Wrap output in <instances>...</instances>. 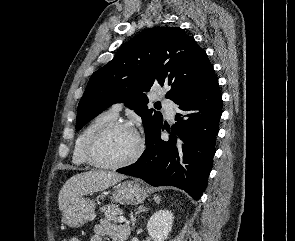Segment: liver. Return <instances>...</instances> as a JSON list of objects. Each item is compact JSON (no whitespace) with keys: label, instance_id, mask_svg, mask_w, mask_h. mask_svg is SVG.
Segmentation results:
<instances>
[{"label":"liver","instance_id":"liver-1","mask_svg":"<svg viewBox=\"0 0 295 241\" xmlns=\"http://www.w3.org/2000/svg\"><path fill=\"white\" fill-rule=\"evenodd\" d=\"M125 178L122 174L95 170L80 173L68 179L58 196L59 209L64 210L69 204L92 192L103 191Z\"/></svg>","mask_w":295,"mask_h":241}]
</instances>
